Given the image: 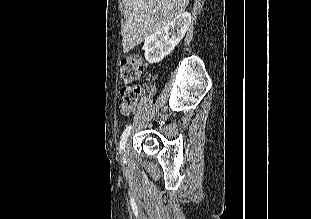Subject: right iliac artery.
I'll list each match as a JSON object with an SVG mask.
<instances>
[{
  "mask_svg": "<svg viewBox=\"0 0 311 219\" xmlns=\"http://www.w3.org/2000/svg\"><path fill=\"white\" fill-rule=\"evenodd\" d=\"M132 126H127V128L124 130L122 136H121V140H120V152L123 153V151H125V144L127 141V138L130 134V130H131ZM124 163H126L125 159L123 161Z\"/></svg>",
  "mask_w": 311,
  "mask_h": 219,
  "instance_id": "right-iliac-artery-1",
  "label": "right iliac artery"
}]
</instances>
